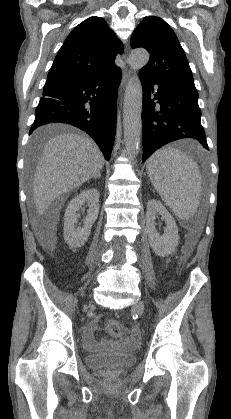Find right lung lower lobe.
Returning a JSON list of instances; mask_svg holds the SVG:
<instances>
[{
  "instance_id": "98d812e1",
  "label": "right lung lower lobe",
  "mask_w": 231,
  "mask_h": 419,
  "mask_svg": "<svg viewBox=\"0 0 231 419\" xmlns=\"http://www.w3.org/2000/svg\"><path fill=\"white\" fill-rule=\"evenodd\" d=\"M120 80L121 70L118 67L92 78L45 85L29 134L44 124L69 123L88 133L98 144L106 160H110L116 130V101Z\"/></svg>"
}]
</instances>
